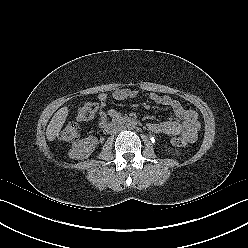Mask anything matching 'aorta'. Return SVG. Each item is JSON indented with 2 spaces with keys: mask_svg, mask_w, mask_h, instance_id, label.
<instances>
[{
  "mask_svg": "<svg viewBox=\"0 0 248 248\" xmlns=\"http://www.w3.org/2000/svg\"><path fill=\"white\" fill-rule=\"evenodd\" d=\"M136 121L133 120V119H129L126 123H125V126L127 129H134L135 126H136Z\"/></svg>",
  "mask_w": 248,
  "mask_h": 248,
  "instance_id": "obj_1",
  "label": "aorta"
}]
</instances>
